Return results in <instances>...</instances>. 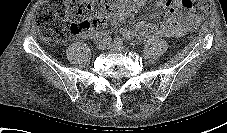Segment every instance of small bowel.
Segmentation results:
<instances>
[{"mask_svg":"<svg viewBox=\"0 0 227 133\" xmlns=\"http://www.w3.org/2000/svg\"><path fill=\"white\" fill-rule=\"evenodd\" d=\"M146 0H124L115 21H121L131 15L135 7L141 6ZM158 5L164 9L166 20L156 27L147 21L140 22L135 28H126L123 35L129 39L136 38L146 40L151 37H179L183 34L195 30L199 25V19L193 13L181 11L180 0H158ZM103 35V31L96 29L87 33L89 38H98Z\"/></svg>","mask_w":227,"mask_h":133,"instance_id":"1","label":"small bowel"}]
</instances>
